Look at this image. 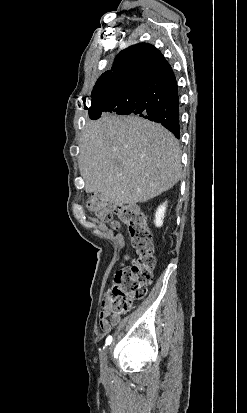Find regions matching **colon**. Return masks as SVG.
I'll use <instances>...</instances> for the list:
<instances>
[{
    "mask_svg": "<svg viewBox=\"0 0 247 413\" xmlns=\"http://www.w3.org/2000/svg\"><path fill=\"white\" fill-rule=\"evenodd\" d=\"M90 212L113 229L120 223L126 225L134 248V262L121 269L115 276L111 290L110 311L120 314L130 310L133 304L142 300L148 286L154 280L157 264L154 236L146 225V219L136 206H124L114 203L107 197L95 196L87 204Z\"/></svg>",
    "mask_w": 247,
    "mask_h": 413,
    "instance_id": "5ec220e1",
    "label": "colon"
}]
</instances>
